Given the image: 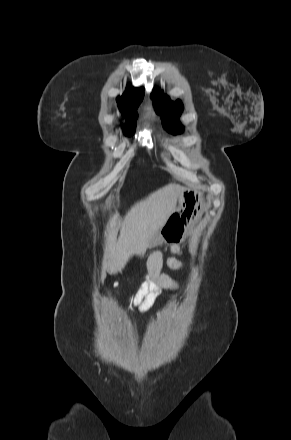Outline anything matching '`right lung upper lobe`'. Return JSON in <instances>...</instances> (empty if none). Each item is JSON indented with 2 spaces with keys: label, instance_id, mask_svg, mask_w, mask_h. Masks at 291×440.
<instances>
[{
  "label": "right lung upper lobe",
  "instance_id": "1",
  "mask_svg": "<svg viewBox=\"0 0 291 440\" xmlns=\"http://www.w3.org/2000/svg\"><path fill=\"white\" fill-rule=\"evenodd\" d=\"M144 96L143 89L128 87L124 94L117 98L119 109L122 113L134 112Z\"/></svg>",
  "mask_w": 291,
  "mask_h": 440
}]
</instances>
